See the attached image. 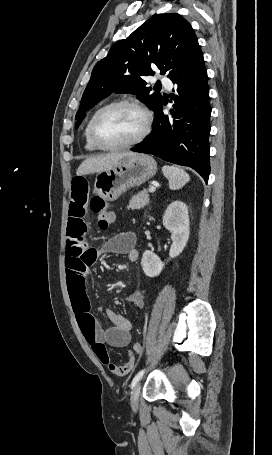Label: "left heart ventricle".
<instances>
[{
    "mask_svg": "<svg viewBox=\"0 0 272 455\" xmlns=\"http://www.w3.org/2000/svg\"><path fill=\"white\" fill-rule=\"evenodd\" d=\"M142 127L140 112L131 106L122 105L103 112L96 122L95 132L102 143L117 145L134 139Z\"/></svg>",
    "mask_w": 272,
    "mask_h": 455,
    "instance_id": "obj_1",
    "label": "left heart ventricle"
}]
</instances>
